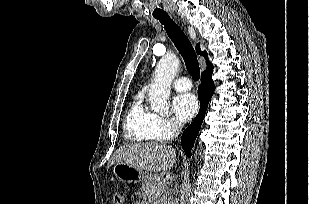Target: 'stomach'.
<instances>
[{
    "mask_svg": "<svg viewBox=\"0 0 309 204\" xmlns=\"http://www.w3.org/2000/svg\"><path fill=\"white\" fill-rule=\"evenodd\" d=\"M114 176L121 182L139 183L146 179L147 174L143 170L136 169L125 163H116L112 168Z\"/></svg>",
    "mask_w": 309,
    "mask_h": 204,
    "instance_id": "stomach-1",
    "label": "stomach"
}]
</instances>
